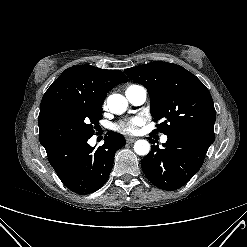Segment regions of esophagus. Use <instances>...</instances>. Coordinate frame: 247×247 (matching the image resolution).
<instances>
[{
	"instance_id": "34e87169",
	"label": "esophagus",
	"mask_w": 247,
	"mask_h": 247,
	"mask_svg": "<svg viewBox=\"0 0 247 247\" xmlns=\"http://www.w3.org/2000/svg\"><path fill=\"white\" fill-rule=\"evenodd\" d=\"M136 139H137V138H135V137H128V138L126 139V141H127V143H133L134 141H136Z\"/></svg>"
}]
</instances>
